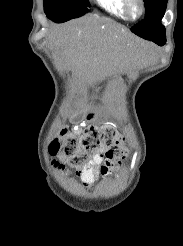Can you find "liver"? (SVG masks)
Masks as SVG:
<instances>
[{
  "instance_id": "obj_1",
  "label": "liver",
  "mask_w": 183,
  "mask_h": 246,
  "mask_svg": "<svg viewBox=\"0 0 183 246\" xmlns=\"http://www.w3.org/2000/svg\"><path fill=\"white\" fill-rule=\"evenodd\" d=\"M49 40L81 88L141 62L149 47L121 25L96 15L57 27Z\"/></svg>"
}]
</instances>
